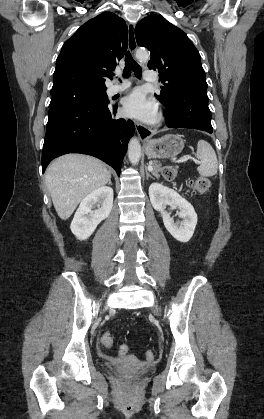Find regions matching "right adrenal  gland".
I'll return each instance as SVG.
<instances>
[{
	"label": "right adrenal gland",
	"mask_w": 264,
	"mask_h": 419,
	"mask_svg": "<svg viewBox=\"0 0 264 419\" xmlns=\"http://www.w3.org/2000/svg\"><path fill=\"white\" fill-rule=\"evenodd\" d=\"M108 185H112L111 179L109 180Z\"/></svg>",
	"instance_id": "2a0ac1e0"
}]
</instances>
